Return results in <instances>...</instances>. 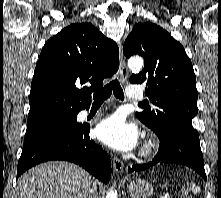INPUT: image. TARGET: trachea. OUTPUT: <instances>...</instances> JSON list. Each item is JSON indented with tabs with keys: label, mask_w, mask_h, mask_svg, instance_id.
Returning <instances> with one entry per match:
<instances>
[{
	"label": "trachea",
	"mask_w": 221,
	"mask_h": 198,
	"mask_svg": "<svg viewBox=\"0 0 221 198\" xmlns=\"http://www.w3.org/2000/svg\"><path fill=\"white\" fill-rule=\"evenodd\" d=\"M112 93L116 98L124 100V93L118 79L110 81L103 89L94 93V104H102Z\"/></svg>",
	"instance_id": "3493384b"
}]
</instances>
